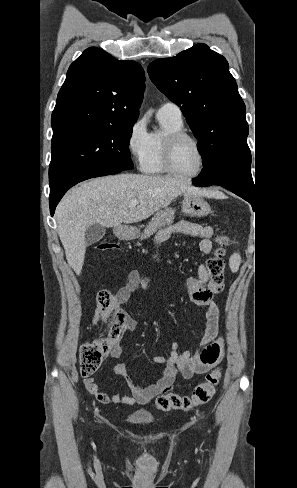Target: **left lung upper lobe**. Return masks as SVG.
I'll return each instance as SVG.
<instances>
[{
	"instance_id": "left-lung-upper-lobe-1",
	"label": "left lung upper lobe",
	"mask_w": 297,
	"mask_h": 488,
	"mask_svg": "<svg viewBox=\"0 0 297 488\" xmlns=\"http://www.w3.org/2000/svg\"><path fill=\"white\" fill-rule=\"evenodd\" d=\"M156 87L176 103L199 141L200 186L229 183L254 191L246 107L226 59L199 43L148 66Z\"/></svg>"
}]
</instances>
